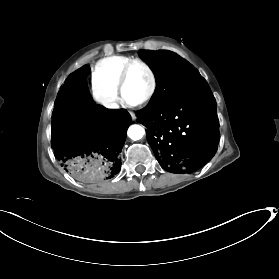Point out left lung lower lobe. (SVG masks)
Here are the masks:
<instances>
[{
    "mask_svg": "<svg viewBox=\"0 0 279 279\" xmlns=\"http://www.w3.org/2000/svg\"><path fill=\"white\" fill-rule=\"evenodd\" d=\"M137 118L147 127V140L166 171L192 173L217 151L220 135L216 101L206 81L166 106L139 110Z\"/></svg>",
    "mask_w": 279,
    "mask_h": 279,
    "instance_id": "obj_1",
    "label": "left lung lower lobe"
}]
</instances>
